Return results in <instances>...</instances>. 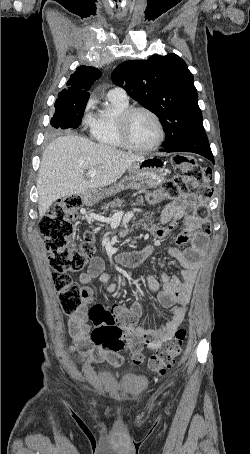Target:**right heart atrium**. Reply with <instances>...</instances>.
Returning <instances> with one entry per match:
<instances>
[{"instance_id": "1", "label": "right heart atrium", "mask_w": 250, "mask_h": 454, "mask_svg": "<svg viewBox=\"0 0 250 454\" xmlns=\"http://www.w3.org/2000/svg\"><path fill=\"white\" fill-rule=\"evenodd\" d=\"M85 124L90 127L91 126V116H86L84 119Z\"/></svg>"}]
</instances>
